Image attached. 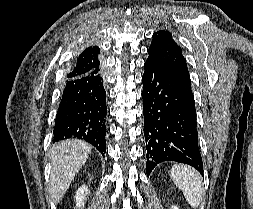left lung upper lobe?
I'll return each mask as SVG.
<instances>
[{
	"instance_id": "1",
	"label": "left lung upper lobe",
	"mask_w": 253,
	"mask_h": 209,
	"mask_svg": "<svg viewBox=\"0 0 253 209\" xmlns=\"http://www.w3.org/2000/svg\"><path fill=\"white\" fill-rule=\"evenodd\" d=\"M148 54L147 61L160 65L176 78L195 108L186 60L182 55L181 48L173 40L171 33L165 30L154 33Z\"/></svg>"
}]
</instances>
